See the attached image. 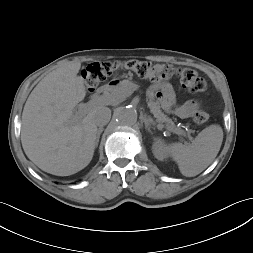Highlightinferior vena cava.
Wrapping results in <instances>:
<instances>
[{
  "instance_id": "1",
  "label": "inferior vena cava",
  "mask_w": 253,
  "mask_h": 253,
  "mask_svg": "<svg viewBox=\"0 0 253 253\" xmlns=\"http://www.w3.org/2000/svg\"><path fill=\"white\" fill-rule=\"evenodd\" d=\"M111 118V110L108 107L99 108L94 114L95 124L99 127L105 126Z\"/></svg>"
}]
</instances>
